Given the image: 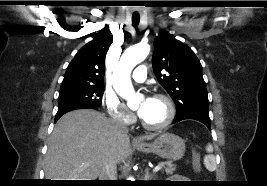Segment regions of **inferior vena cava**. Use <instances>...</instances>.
Masks as SVG:
<instances>
[{
  "label": "inferior vena cava",
  "instance_id": "602c4592",
  "mask_svg": "<svg viewBox=\"0 0 267 186\" xmlns=\"http://www.w3.org/2000/svg\"><path fill=\"white\" fill-rule=\"evenodd\" d=\"M114 128L118 133H128V127L121 120H115ZM99 180H117V165L116 162L112 159L108 160L103 167Z\"/></svg>",
  "mask_w": 267,
  "mask_h": 186
}]
</instances>
